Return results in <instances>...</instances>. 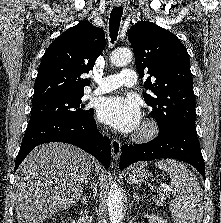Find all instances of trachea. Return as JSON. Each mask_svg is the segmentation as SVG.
I'll return each mask as SVG.
<instances>
[{"label":"trachea","mask_w":221,"mask_h":223,"mask_svg":"<svg viewBox=\"0 0 221 223\" xmlns=\"http://www.w3.org/2000/svg\"><path fill=\"white\" fill-rule=\"evenodd\" d=\"M122 14H123L122 7H114L111 11L109 20V32L112 42H114L118 36Z\"/></svg>","instance_id":"1"}]
</instances>
